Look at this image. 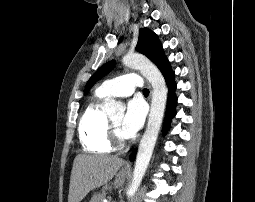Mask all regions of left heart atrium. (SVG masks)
Listing matches in <instances>:
<instances>
[{
    "mask_svg": "<svg viewBox=\"0 0 255 202\" xmlns=\"http://www.w3.org/2000/svg\"><path fill=\"white\" fill-rule=\"evenodd\" d=\"M145 116L146 108L141 100L133 99L129 101L122 121V129L128 138L135 136L142 128Z\"/></svg>",
    "mask_w": 255,
    "mask_h": 202,
    "instance_id": "left-heart-atrium-1",
    "label": "left heart atrium"
}]
</instances>
